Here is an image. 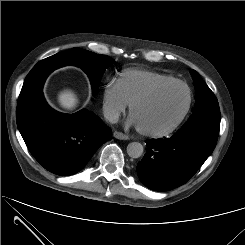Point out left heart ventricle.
<instances>
[{"label":"left heart ventricle","instance_id":"obj_1","mask_svg":"<svg viewBox=\"0 0 245 245\" xmlns=\"http://www.w3.org/2000/svg\"><path fill=\"white\" fill-rule=\"evenodd\" d=\"M188 94L182 85H171L152 99L137 105L132 113L139 128L160 131L171 126L186 107Z\"/></svg>","mask_w":245,"mask_h":245}]
</instances>
